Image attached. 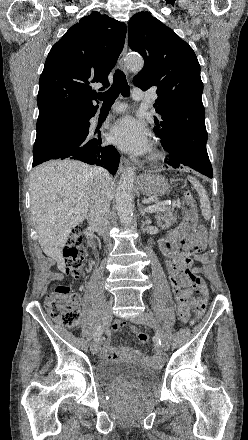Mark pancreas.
<instances>
[{
  "label": "pancreas",
  "mask_w": 248,
  "mask_h": 440,
  "mask_svg": "<svg viewBox=\"0 0 248 440\" xmlns=\"http://www.w3.org/2000/svg\"><path fill=\"white\" fill-rule=\"evenodd\" d=\"M156 223L161 228H169L176 222V217L173 214V209L167 208L163 213L157 212Z\"/></svg>",
  "instance_id": "pancreas-1"
}]
</instances>
